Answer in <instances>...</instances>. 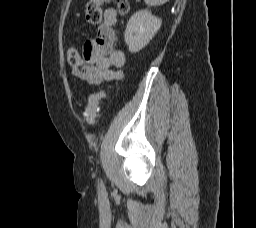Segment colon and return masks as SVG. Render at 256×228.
<instances>
[{
	"instance_id": "5ec220e1",
	"label": "colon",
	"mask_w": 256,
	"mask_h": 228,
	"mask_svg": "<svg viewBox=\"0 0 256 228\" xmlns=\"http://www.w3.org/2000/svg\"><path fill=\"white\" fill-rule=\"evenodd\" d=\"M113 0H89L86 4V19L93 25H98L102 20V5ZM117 2L118 12L125 15L129 11L128 0H115ZM68 62L72 67H83L86 64L83 56L74 48H69L67 52ZM107 96L105 91L92 94L89 97L85 111L86 122L92 126L96 122V118L100 109L99 103Z\"/></svg>"
}]
</instances>
